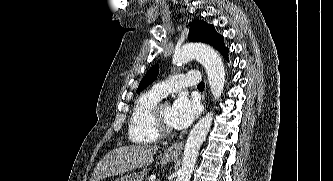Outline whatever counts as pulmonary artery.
<instances>
[{"label": "pulmonary artery", "mask_w": 333, "mask_h": 181, "mask_svg": "<svg viewBox=\"0 0 333 181\" xmlns=\"http://www.w3.org/2000/svg\"><path fill=\"white\" fill-rule=\"evenodd\" d=\"M200 79L201 75L199 72H188L182 75H175L155 84L151 91L163 98L171 92H177L181 88L198 85Z\"/></svg>", "instance_id": "pulmonary-artery-1"}]
</instances>
